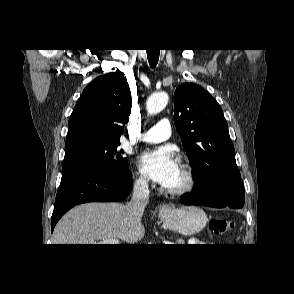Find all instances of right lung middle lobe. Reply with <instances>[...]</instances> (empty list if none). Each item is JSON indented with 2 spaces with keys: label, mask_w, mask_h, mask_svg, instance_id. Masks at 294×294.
I'll return each instance as SVG.
<instances>
[{
  "label": "right lung middle lobe",
  "mask_w": 294,
  "mask_h": 294,
  "mask_svg": "<svg viewBox=\"0 0 294 294\" xmlns=\"http://www.w3.org/2000/svg\"><path fill=\"white\" fill-rule=\"evenodd\" d=\"M120 142L95 139L78 140L66 144L62 176L81 169H96L114 173L129 171L128 162L119 151Z\"/></svg>",
  "instance_id": "1"
}]
</instances>
